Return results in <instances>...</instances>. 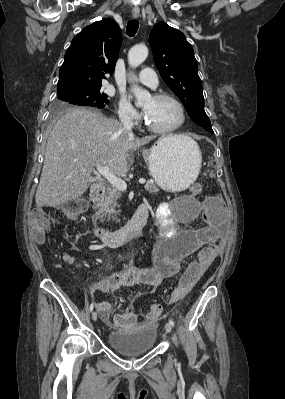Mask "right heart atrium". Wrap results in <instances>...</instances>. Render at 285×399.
Wrapping results in <instances>:
<instances>
[{"mask_svg": "<svg viewBox=\"0 0 285 399\" xmlns=\"http://www.w3.org/2000/svg\"><path fill=\"white\" fill-rule=\"evenodd\" d=\"M118 116L123 121L137 122L139 120V113L134 106L126 99H121L119 102Z\"/></svg>", "mask_w": 285, "mask_h": 399, "instance_id": "obj_1", "label": "right heart atrium"}]
</instances>
